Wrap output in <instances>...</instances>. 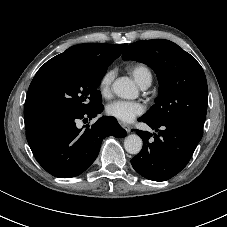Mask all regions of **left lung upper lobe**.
<instances>
[{
    "mask_svg": "<svg viewBox=\"0 0 227 227\" xmlns=\"http://www.w3.org/2000/svg\"><path fill=\"white\" fill-rule=\"evenodd\" d=\"M122 58L146 63L158 77L159 96L143 119L152 123L180 121L203 128L208 88L204 71L193 56L171 41L153 39L130 44Z\"/></svg>",
    "mask_w": 227,
    "mask_h": 227,
    "instance_id": "left-lung-upper-lobe-1",
    "label": "left lung upper lobe"
}]
</instances>
